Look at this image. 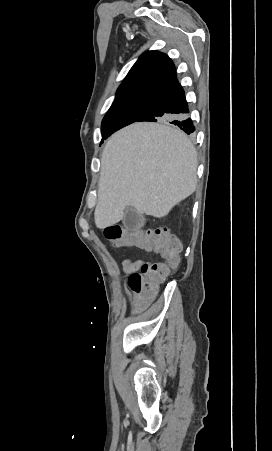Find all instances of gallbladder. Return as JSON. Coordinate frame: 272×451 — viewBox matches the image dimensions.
Instances as JSON below:
<instances>
[{
    "instance_id": "obj_1",
    "label": "gallbladder",
    "mask_w": 272,
    "mask_h": 451,
    "mask_svg": "<svg viewBox=\"0 0 272 451\" xmlns=\"http://www.w3.org/2000/svg\"><path fill=\"white\" fill-rule=\"evenodd\" d=\"M123 224L127 229H136V227H143L145 224V218L143 214H138L134 208H126Z\"/></svg>"
}]
</instances>
